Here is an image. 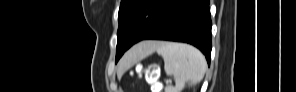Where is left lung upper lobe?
<instances>
[{"label":"left lung upper lobe","mask_w":296,"mask_h":92,"mask_svg":"<svg viewBox=\"0 0 296 92\" xmlns=\"http://www.w3.org/2000/svg\"><path fill=\"white\" fill-rule=\"evenodd\" d=\"M170 0H121L116 62L133 44L143 40L160 23Z\"/></svg>","instance_id":"5c2ea615"}]
</instances>
